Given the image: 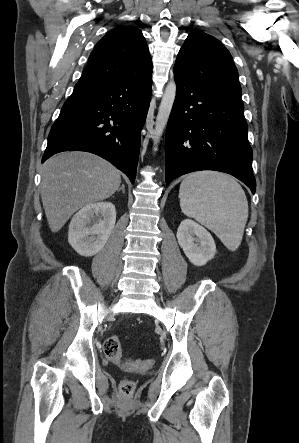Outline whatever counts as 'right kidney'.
<instances>
[{
    "label": "right kidney",
    "mask_w": 299,
    "mask_h": 443,
    "mask_svg": "<svg viewBox=\"0 0 299 443\" xmlns=\"http://www.w3.org/2000/svg\"><path fill=\"white\" fill-rule=\"evenodd\" d=\"M115 222L116 210L111 202L86 205L70 222L69 244L81 256L91 257L105 246Z\"/></svg>",
    "instance_id": "obj_1"
}]
</instances>
